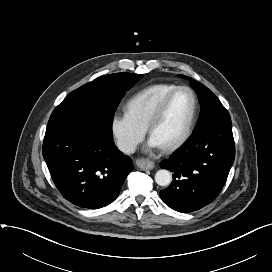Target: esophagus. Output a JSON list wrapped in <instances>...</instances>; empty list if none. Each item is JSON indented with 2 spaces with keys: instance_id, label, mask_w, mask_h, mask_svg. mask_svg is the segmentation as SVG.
Returning <instances> with one entry per match:
<instances>
[{
  "instance_id": "esophagus-1",
  "label": "esophagus",
  "mask_w": 272,
  "mask_h": 272,
  "mask_svg": "<svg viewBox=\"0 0 272 272\" xmlns=\"http://www.w3.org/2000/svg\"><path fill=\"white\" fill-rule=\"evenodd\" d=\"M136 165L141 170H151L154 167V163L146 158L137 159Z\"/></svg>"
}]
</instances>
